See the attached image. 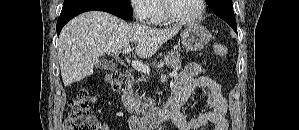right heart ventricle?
<instances>
[{
	"label": "right heart ventricle",
	"mask_w": 299,
	"mask_h": 130,
	"mask_svg": "<svg viewBox=\"0 0 299 130\" xmlns=\"http://www.w3.org/2000/svg\"><path fill=\"white\" fill-rule=\"evenodd\" d=\"M158 3L154 4L153 9L155 11L154 18L151 20L153 24H162L165 22V17L163 14L161 1H157Z\"/></svg>",
	"instance_id": "e07e8e85"
}]
</instances>
